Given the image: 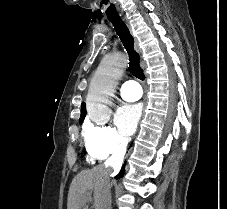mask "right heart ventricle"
Segmentation results:
<instances>
[{
  "mask_svg": "<svg viewBox=\"0 0 227 209\" xmlns=\"http://www.w3.org/2000/svg\"><path fill=\"white\" fill-rule=\"evenodd\" d=\"M87 160H88L89 163H94L95 160H97V158L94 155L88 153Z\"/></svg>",
  "mask_w": 227,
  "mask_h": 209,
  "instance_id": "right-heart-ventricle-1",
  "label": "right heart ventricle"
}]
</instances>
